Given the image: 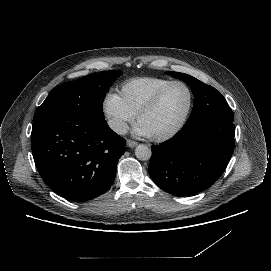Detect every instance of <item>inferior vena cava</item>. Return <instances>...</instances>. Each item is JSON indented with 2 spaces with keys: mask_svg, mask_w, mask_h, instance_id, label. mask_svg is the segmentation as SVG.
I'll return each mask as SVG.
<instances>
[{
  "mask_svg": "<svg viewBox=\"0 0 271 271\" xmlns=\"http://www.w3.org/2000/svg\"><path fill=\"white\" fill-rule=\"evenodd\" d=\"M109 127L119 135H125L128 132V125L122 120H110Z\"/></svg>",
  "mask_w": 271,
  "mask_h": 271,
  "instance_id": "inferior-vena-cava-1",
  "label": "inferior vena cava"
}]
</instances>
